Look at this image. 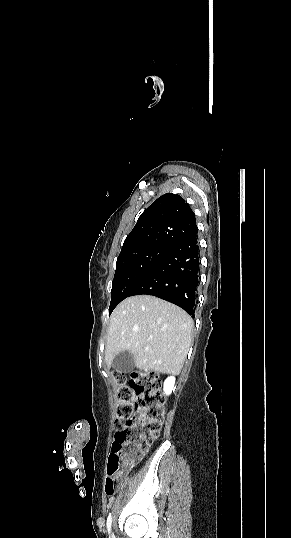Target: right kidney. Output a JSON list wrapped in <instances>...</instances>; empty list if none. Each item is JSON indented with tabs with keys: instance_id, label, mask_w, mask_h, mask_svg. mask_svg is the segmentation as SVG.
Returning a JSON list of instances; mask_svg holds the SVG:
<instances>
[{
	"instance_id": "1",
	"label": "right kidney",
	"mask_w": 291,
	"mask_h": 538,
	"mask_svg": "<svg viewBox=\"0 0 291 538\" xmlns=\"http://www.w3.org/2000/svg\"><path fill=\"white\" fill-rule=\"evenodd\" d=\"M174 385H175V377L174 376L168 377L164 382V386H163L164 393L166 395H170L172 390L175 388Z\"/></svg>"
}]
</instances>
